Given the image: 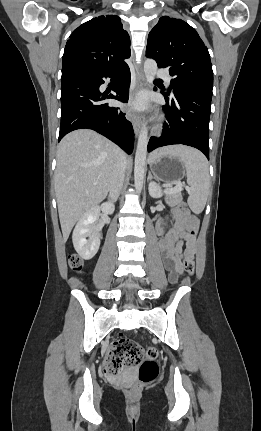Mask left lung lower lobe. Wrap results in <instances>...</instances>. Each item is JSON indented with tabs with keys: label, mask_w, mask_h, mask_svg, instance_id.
Instances as JSON below:
<instances>
[{
	"label": "left lung lower lobe",
	"mask_w": 261,
	"mask_h": 431,
	"mask_svg": "<svg viewBox=\"0 0 261 431\" xmlns=\"http://www.w3.org/2000/svg\"><path fill=\"white\" fill-rule=\"evenodd\" d=\"M156 90V89H155ZM166 105L163 110L167 122L160 136H153L148 152L173 144H184L199 149L209 159V118L212 91L182 86L173 93L163 91Z\"/></svg>",
	"instance_id": "left-lung-lower-lobe-1"
}]
</instances>
